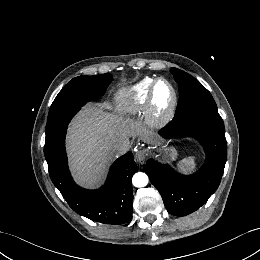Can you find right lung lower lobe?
Returning <instances> with one entry per match:
<instances>
[{
  "label": "right lung lower lobe",
  "mask_w": 260,
  "mask_h": 260,
  "mask_svg": "<svg viewBox=\"0 0 260 260\" xmlns=\"http://www.w3.org/2000/svg\"><path fill=\"white\" fill-rule=\"evenodd\" d=\"M67 125L50 142H45L44 154L52 182L69 206L78 214L104 224H123L132 214L131 178L137 165L131 152L118 158L110 168L105 185L99 190L77 186L68 170L65 153Z\"/></svg>",
  "instance_id": "obj_1"
}]
</instances>
